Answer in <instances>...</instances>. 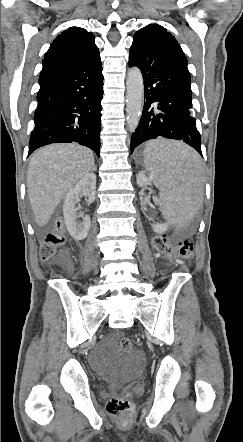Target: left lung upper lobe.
<instances>
[{"instance_id": "obj_1", "label": "left lung upper lobe", "mask_w": 243, "mask_h": 442, "mask_svg": "<svg viewBox=\"0 0 243 442\" xmlns=\"http://www.w3.org/2000/svg\"><path fill=\"white\" fill-rule=\"evenodd\" d=\"M134 39L143 40L151 45L166 48L185 56L180 45L166 29L157 24H150L134 34Z\"/></svg>"}]
</instances>
